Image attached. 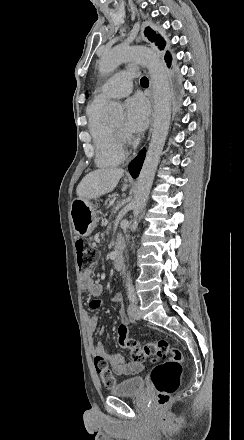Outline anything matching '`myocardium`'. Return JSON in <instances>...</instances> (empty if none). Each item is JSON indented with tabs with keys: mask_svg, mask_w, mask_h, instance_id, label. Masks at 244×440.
<instances>
[{
	"mask_svg": "<svg viewBox=\"0 0 244 440\" xmlns=\"http://www.w3.org/2000/svg\"><path fill=\"white\" fill-rule=\"evenodd\" d=\"M107 126H108V128L109 129H111L112 131H114V132H116V133H122L123 132V128L121 127V128H119V129H114L111 125H109L108 123H107ZM118 143H123L125 140L123 139V138H118L117 140H116Z\"/></svg>",
	"mask_w": 244,
	"mask_h": 440,
	"instance_id": "myocardium-1",
	"label": "myocardium"
}]
</instances>
